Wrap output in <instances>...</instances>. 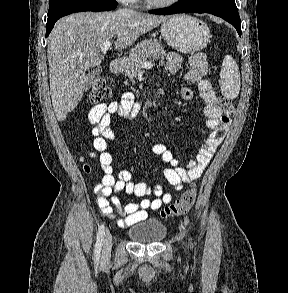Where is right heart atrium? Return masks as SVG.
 I'll return each mask as SVG.
<instances>
[{
    "label": "right heart atrium",
    "instance_id": "d8ad5b80",
    "mask_svg": "<svg viewBox=\"0 0 288 293\" xmlns=\"http://www.w3.org/2000/svg\"><path fill=\"white\" fill-rule=\"evenodd\" d=\"M123 4H131V3H134L136 2L137 0H117Z\"/></svg>",
    "mask_w": 288,
    "mask_h": 293
}]
</instances>
